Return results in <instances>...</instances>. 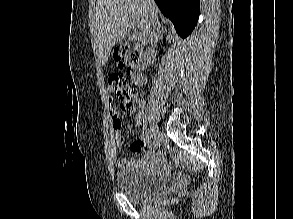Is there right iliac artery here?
<instances>
[{"instance_id": "obj_1", "label": "right iliac artery", "mask_w": 293, "mask_h": 219, "mask_svg": "<svg viewBox=\"0 0 293 219\" xmlns=\"http://www.w3.org/2000/svg\"><path fill=\"white\" fill-rule=\"evenodd\" d=\"M145 134H146V136H147V137H149V136H150V131H149V130H148V131H146V133H145Z\"/></svg>"}]
</instances>
